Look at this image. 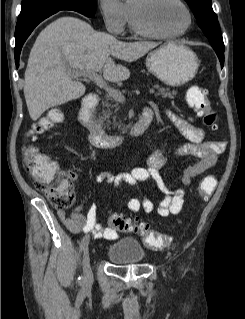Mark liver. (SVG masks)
<instances>
[{"mask_svg":"<svg viewBox=\"0 0 245 319\" xmlns=\"http://www.w3.org/2000/svg\"><path fill=\"white\" fill-rule=\"evenodd\" d=\"M158 45L119 41L76 17L56 19L40 32L29 55L24 96L31 119L36 121L49 108L85 93L86 87L75 80L72 70L102 71L110 82L126 80L129 70L113 58L133 62Z\"/></svg>","mask_w":245,"mask_h":319,"instance_id":"1","label":"liver"}]
</instances>
